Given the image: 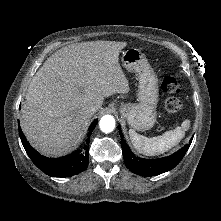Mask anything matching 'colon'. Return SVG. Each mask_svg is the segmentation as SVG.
Returning a JSON list of instances; mask_svg holds the SVG:
<instances>
[{
	"label": "colon",
	"mask_w": 221,
	"mask_h": 221,
	"mask_svg": "<svg viewBox=\"0 0 221 221\" xmlns=\"http://www.w3.org/2000/svg\"><path fill=\"white\" fill-rule=\"evenodd\" d=\"M162 90L168 95L165 101V110L167 113H176L180 110L182 104L177 97L182 92L179 80L174 76H167L162 81Z\"/></svg>",
	"instance_id": "5ec220e1"
}]
</instances>
